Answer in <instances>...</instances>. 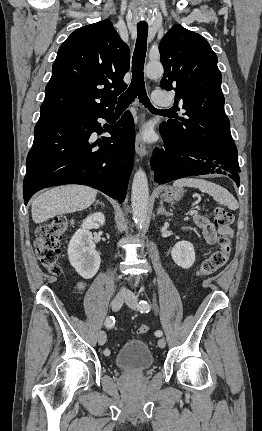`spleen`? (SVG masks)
Returning <instances> with one entry per match:
<instances>
[{
    "instance_id": "spleen-1",
    "label": "spleen",
    "mask_w": 262,
    "mask_h": 431,
    "mask_svg": "<svg viewBox=\"0 0 262 431\" xmlns=\"http://www.w3.org/2000/svg\"><path fill=\"white\" fill-rule=\"evenodd\" d=\"M174 187H193L212 196L214 200L227 206L230 210H237L239 204L235 197L222 186L199 178H181L173 183Z\"/></svg>"
}]
</instances>
